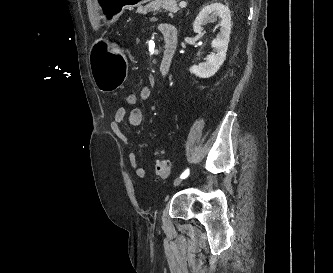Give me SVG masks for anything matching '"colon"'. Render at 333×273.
Masks as SVG:
<instances>
[{
    "label": "colon",
    "instance_id": "colon-1",
    "mask_svg": "<svg viewBox=\"0 0 333 273\" xmlns=\"http://www.w3.org/2000/svg\"><path fill=\"white\" fill-rule=\"evenodd\" d=\"M138 95L130 92L124 96V103L126 107H134L137 104ZM156 175L159 178H166L170 173V163L167 160L158 161L155 166Z\"/></svg>",
    "mask_w": 333,
    "mask_h": 273
}]
</instances>
